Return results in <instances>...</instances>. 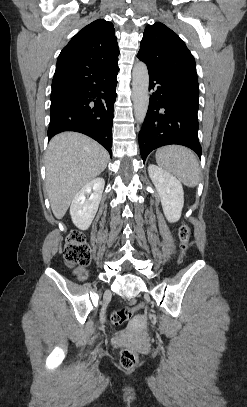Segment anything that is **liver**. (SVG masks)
Here are the masks:
<instances>
[{
    "label": "liver",
    "mask_w": 247,
    "mask_h": 407,
    "mask_svg": "<svg viewBox=\"0 0 247 407\" xmlns=\"http://www.w3.org/2000/svg\"><path fill=\"white\" fill-rule=\"evenodd\" d=\"M108 161V152L86 135L64 132L51 139L45 157L46 190L57 219L63 218L78 191L101 174Z\"/></svg>",
    "instance_id": "6515ba94"
}]
</instances>
